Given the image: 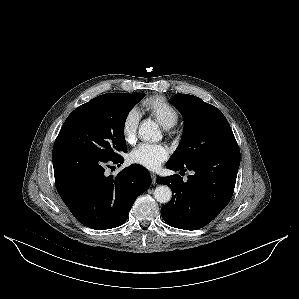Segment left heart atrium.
I'll return each mask as SVG.
<instances>
[{"label": "left heart atrium", "mask_w": 299, "mask_h": 299, "mask_svg": "<svg viewBox=\"0 0 299 299\" xmlns=\"http://www.w3.org/2000/svg\"><path fill=\"white\" fill-rule=\"evenodd\" d=\"M168 156L169 150L165 145L144 143L130 153V160L148 170H156Z\"/></svg>", "instance_id": "obj_1"}]
</instances>
